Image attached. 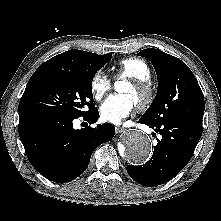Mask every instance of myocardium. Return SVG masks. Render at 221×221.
I'll return each instance as SVG.
<instances>
[{
    "label": "myocardium",
    "mask_w": 221,
    "mask_h": 221,
    "mask_svg": "<svg viewBox=\"0 0 221 221\" xmlns=\"http://www.w3.org/2000/svg\"><path fill=\"white\" fill-rule=\"evenodd\" d=\"M129 84H131L141 94L140 99L136 102V107L139 110L147 109L155 98V92L152 84L149 81L136 79H130Z\"/></svg>",
    "instance_id": "f54148a6"
}]
</instances>
